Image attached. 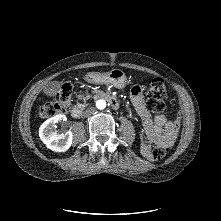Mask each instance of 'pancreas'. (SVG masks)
<instances>
[{
	"mask_svg": "<svg viewBox=\"0 0 221 221\" xmlns=\"http://www.w3.org/2000/svg\"><path fill=\"white\" fill-rule=\"evenodd\" d=\"M81 99H83L84 101H86L87 99H89L90 98V96L89 95H87V96H85V97H80ZM81 105V104H80Z\"/></svg>",
	"mask_w": 221,
	"mask_h": 221,
	"instance_id": "cf45deb5",
	"label": "pancreas"
}]
</instances>
